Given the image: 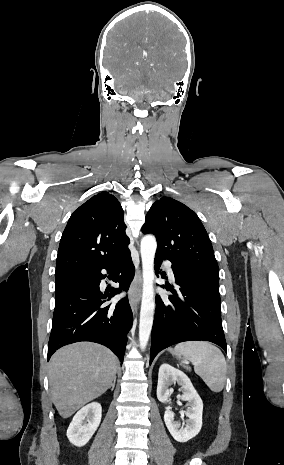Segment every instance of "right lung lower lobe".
Masks as SVG:
<instances>
[{
  "mask_svg": "<svg viewBox=\"0 0 284 465\" xmlns=\"http://www.w3.org/2000/svg\"><path fill=\"white\" fill-rule=\"evenodd\" d=\"M106 269L113 274L119 288H109L103 294L99 284L106 277ZM134 277V266L129 249L94 273L68 279L55 290V310L48 343V360L64 345L91 341L105 345L123 362L127 333L133 315L127 298L108 304L121 290L127 291Z\"/></svg>",
  "mask_w": 284,
  "mask_h": 465,
  "instance_id": "right-lung-lower-lobe-1",
  "label": "right lung lower lobe"
}]
</instances>
